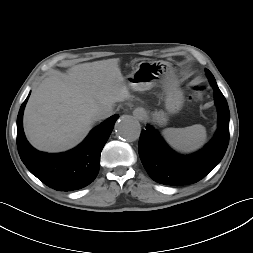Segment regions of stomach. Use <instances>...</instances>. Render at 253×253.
<instances>
[{
  "mask_svg": "<svg viewBox=\"0 0 253 253\" xmlns=\"http://www.w3.org/2000/svg\"><path fill=\"white\" fill-rule=\"evenodd\" d=\"M159 79L165 86L167 113L163 111L154 112L152 121L158 125H164L167 123L168 114L178 112L184 102L183 92L170 65L164 61H142L127 76L129 86L136 91L150 89Z\"/></svg>",
  "mask_w": 253,
  "mask_h": 253,
  "instance_id": "0dacf381",
  "label": "stomach"
}]
</instances>
